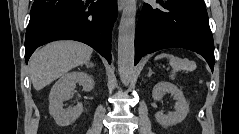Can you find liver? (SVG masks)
Returning a JSON list of instances; mask_svg holds the SVG:
<instances>
[{"mask_svg":"<svg viewBox=\"0 0 239 134\" xmlns=\"http://www.w3.org/2000/svg\"><path fill=\"white\" fill-rule=\"evenodd\" d=\"M93 49L76 41H57L34 52L29 61L33 87L38 91L66 74L69 70L87 63Z\"/></svg>","mask_w":239,"mask_h":134,"instance_id":"obj_1","label":"liver"}]
</instances>
